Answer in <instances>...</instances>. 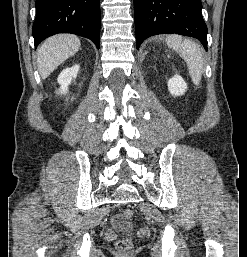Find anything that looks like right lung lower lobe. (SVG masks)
Instances as JSON below:
<instances>
[{"label":"right lung lower lobe","mask_w":247,"mask_h":257,"mask_svg":"<svg viewBox=\"0 0 247 257\" xmlns=\"http://www.w3.org/2000/svg\"><path fill=\"white\" fill-rule=\"evenodd\" d=\"M35 47L49 36L72 33L100 46V0H36Z\"/></svg>","instance_id":"1"}]
</instances>
